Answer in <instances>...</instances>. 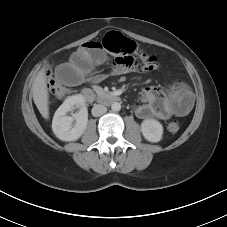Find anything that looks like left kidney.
<instances>
[{"label": "left kidney", "mask_w": 227, "mask_h": 227, "mask_svg": "<svg viewBox=\"0 0 227 227\" xmlns=\"http://www.w3.org/2000/svg\"><path fill=\"white\" fill-rule=\"evenodd\" d=\"M141 131L147 141L156 143L162 139L163 126L155 119H146L141 123Z\"/></svg>", "instance_id": "1"}]
</instances>
